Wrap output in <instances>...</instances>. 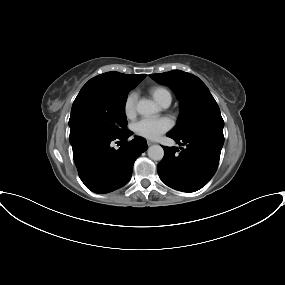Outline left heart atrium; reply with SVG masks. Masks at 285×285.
Segmentation results:
<instances>
[{"label": "left heart atrium", "instance_id": "obj_1", "mask_svg": "<svg viewBox=\"0 0 285 285\" xmlns=\"http://www.w3.org/2000/svg\"><path fill=\"white\" fill-rule=\"evenodd\" d=\"M171 121L167 118H143L135 123L134 132L146 139L155 140L171 128Z\"/></svg>", "mask_w": 285, "mask_h": 285}]
</instances>
